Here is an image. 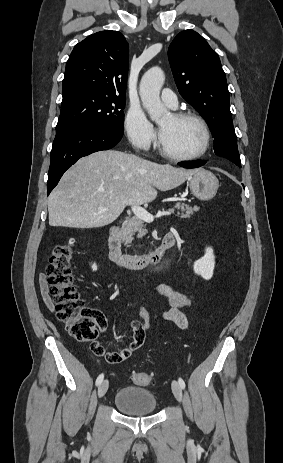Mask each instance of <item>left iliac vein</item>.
<instances>
[{
	"instance_id": "obj_1",
	"label": "left iliac vein",
	"mask_w": 283,
	"mask_h": 463,
	"mask_svg": "<svg viewBox=\"0 0 283 463\" xmlns=\"http://www.w3.org/2000/svg\"><path fill=\"white\" fill-rule=\"evenodd\" d=\"M171 388H172V392L175 396V398L181 402L182 401V388L181 386L179 385V383L177 381H172V385H171Z\"/></svg>"
}]
</instances>
